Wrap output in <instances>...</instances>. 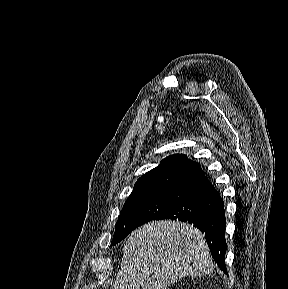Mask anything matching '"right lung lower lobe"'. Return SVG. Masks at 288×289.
<instances>
[{
	"instance_id": "98d812e1",
	"label": "right lung lower lobe",
	"mask_w": 288,
	"mask_h": 289,
	"mask_svg": "<svg viewBox=\"0 0 288 289\" xmlns=\"http://www.w3.org/2000/svg\"><path fill=\"white\" fill-rule=\"evenodd\" d=\"M178 219L205 233L212 257L226 273L225 210L218 191L207 177L186 191L185 196L154 220Z\"/></svg>"
}]
</instances>
